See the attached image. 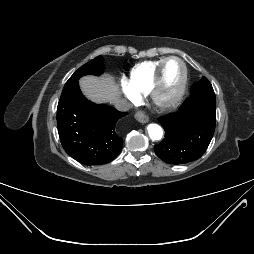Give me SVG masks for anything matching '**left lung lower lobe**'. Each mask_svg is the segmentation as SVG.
I'll use <instances>...</instances> for the list:
<instances>
[{"instance_id": "0a47b994", "label": "left lung lower lobe", "mask_w": 254, "mask_h": 254, "mask_svg": "<svg viewBox=\"0 0 254 254\" xmlns=\"http://www.w3.org/2000/svg\"><path fill=\"white\" fill-rule=\"evenodd\" d=\"M165 138L154 147L168 164H185L199 159L213 137L216 124V98L188 97L178 112L159 117Z\"/></svg>"}]
</instances>
